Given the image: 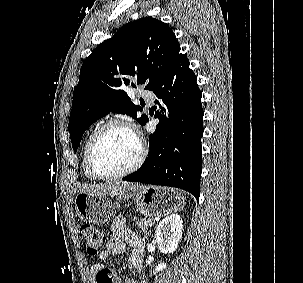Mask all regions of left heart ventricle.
I'll return each instance as SVG.
<instances>
[{"label":"left heart ventricle","mask_w":303,"mask_h":283,"mask_svg":"<svg viewBox=\"0 0 303 283\" xmlns=\"http://www.w3.org/2000/svg\"><path fill=\"white\" fill-rule=\"evenodd\" d=\"M138 153V142L134 134L121 126L108 128L100 138L95 161L104 173H116L129 167Z\"/></svg>","instance_id":"obj_1"}]
</instances>
